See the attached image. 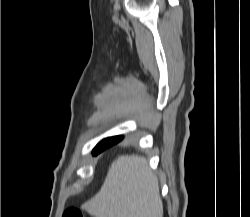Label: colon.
Wrapping results in <instances>:
<instances>
[{
  "label": "colon",
  "mask_w": 250,
  "mask_h": 217,
  "mask_svg": "<svg viewBox=\"0 0 250 217\" xmlns=\"http://www.w3.org/2000/svg\"><path fill=\"white\" fill-rule=\"evenodd\" d=\"M62 217H84L80 209L70 208L66 210Z\"/></svg>",
  "instance_id": "colon-1"
}]
</instances>
